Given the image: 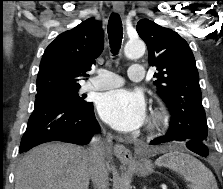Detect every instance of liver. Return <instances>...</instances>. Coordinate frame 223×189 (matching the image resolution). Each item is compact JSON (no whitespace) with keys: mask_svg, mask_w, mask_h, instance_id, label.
<instances>
[{"mask_svg":"<svg viewBox=\"0 0 223 189\" xmlns=\"http://www.w3.org/2000/svg\"><path fill=\"white\" fill-rule=\"evenodd\" d=\"M91 167L89 152L80 146L43 144L20 161L15 189H88Z\"/></svg>","mask_w":223,"mask_h":189,"instance_id":"liver-1","label":"liver"}]
</instances>
